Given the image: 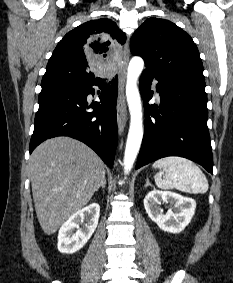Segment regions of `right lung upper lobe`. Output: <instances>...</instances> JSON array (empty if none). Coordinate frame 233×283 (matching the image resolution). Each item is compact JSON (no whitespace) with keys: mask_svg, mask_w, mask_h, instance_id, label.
<instances>
[{"mask_svg":"<svg viewBox=\"0 0 233 283\" xmlns=\"http://www.w3.org/2000/svg\"><path fill=\"white\" fill-rule=\"evenodd\" d=\"M126 35L107 18L91 20L68 32L48 61L42 82L85 84L101 78L94 70H108L116 59L117 45ZM41 82V83H42Z\"/></svg>","mask_w":233,"mask_h":283,"instance_id":"right-lung-upper-lobe-1","label":"right lung upper lobe"}]
</instances>
